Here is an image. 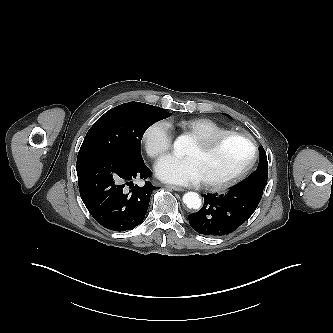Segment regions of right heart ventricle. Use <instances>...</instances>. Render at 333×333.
<instances>
[{
    "mask_svg": "<svg viewBox=\"0 0 333 333\" xmlns=\"http://www.w3.org/2000/svg\"><path fill=\"white\" fill-rule=\"evenodd\" d=\"M177 125L194 139L210 138L229 131L226 127L209 118L180 120Z\"/></svg>",
    "mask_w": 333,
    "mask_h": 333,
    "instance_id": "right-heart-ventricle-1",
    "label": "right heart ventricle"
}]
</instances>
